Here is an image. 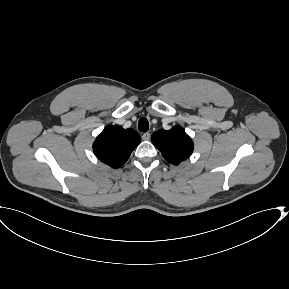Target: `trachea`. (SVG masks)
Wrapping results in <instances>:
<instances>
[{"mask_svg":"<svg viewBox=\"0 0 289 289\" xmlns=\"http://www.w3.org/2000/svg\"><path fill=\"white\" fill-rule=\"evenodd\" d=\"M138 129L141 132H147L149 129V122L146 118L142 117L138 121Z\"/></svg>","mask_w":289,"mask_h":289,"instance_id":"3493384b","label":"trachea"}]
</instances>
